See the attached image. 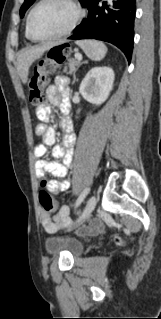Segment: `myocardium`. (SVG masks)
<instances>
[{
	"label": "myocardium",
	"instance_id": "obj_1",
	"mask_svg": "<svg viewBox=\"0 0 161 319\" xmlns=\"http://www.w3.org/2000/svg\"><path fill=\"white\" fill-rule=\"evenodd\" d=\"M48 1L49 0H40L29 13V16L27 19V35H28L29 39H31L32 41L45 42V41H52V40L62 38L64 36L68 35L75 28V26L77 25V23L79 22V20L82 17V14H83L82 9L76 0H63L64 2L69 4L70 7L73 9V17L70 20V22L68 23V25L62 31H60L59 33H57L55 35H52L49 37H44V38H37L32 33V27H31L32 19L35 15L36 11L39 9V7Z\"/></svg>",
	"mask_w": 161,
	"mask_h": 319
}]
</instances>
